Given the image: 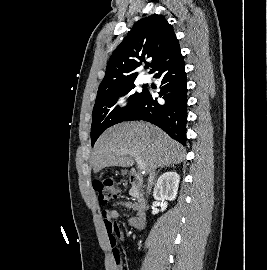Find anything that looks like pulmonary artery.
Here are the masks:
<instances>
[{
	"instance_id": "e3ab8cb5",
	"label": "pulmonary artery",
	"mask_w": 267,
	"mask_h": 270,
	"mask_svg": "<svg viewBox=\"0 0 267 270\" xmlns=\"http://www.w3.org/2000/svg\"><path fill=\"white\" fill-rule=\"evenodd\" d=\"M141 81H142L143 83H148V82L150 81V77H149L148 75H143V76L141 77Z\"/></svg>"
}]
</instances>
